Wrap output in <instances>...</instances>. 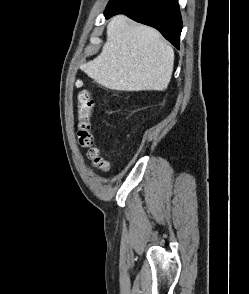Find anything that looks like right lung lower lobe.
<instances>
[{"label":"right lung lower lobe","mask_w":249,"mask_h":294,"mask_svg":"<svg viewBox=\"0 0 249 294\" xmlns=\"http://www.w3.org/2000/svg\"><path fill=\"white\" fill-rule=\"evenodd\" d=\"M125 13L137 22L158 29L174 46L179 48L182 20L177 0H123L107 8L106 18Z\"/></svg>","instance_id":"obj_1"}]
</instances>
